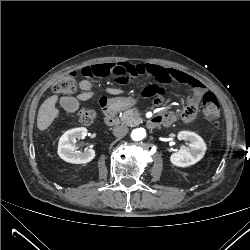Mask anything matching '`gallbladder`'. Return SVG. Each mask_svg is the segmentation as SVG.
Instances as JSON below:
<instances>
[{"label":"gallbladder","mask_w":250,"mask_h":250,"mask_svg":"<svg viewBox=\"0 0 250 250\" xmlns=\"http://www.w3.org/2000/svg\"><path fill=\"white\" fill-rule=\"evenodd\" d=\"M61 106L68 112H75L79 108V104L77 101H73L68 98H64L61 100Z\"/></svg>","instance_id":"1"}]
</instances>
